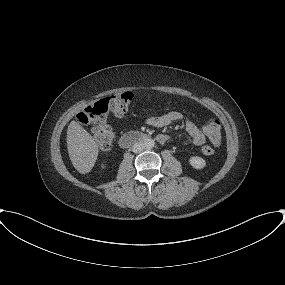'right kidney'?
<instances>
[{"mask_svg": "<svg viewBox=\"0 0 285 285\" xmlns=\"http://www.w3.org/2000/svg\"><path fill=\"white\" fill-rule=\"evenodd\" d=\"M106 166L105 164H101V168L104 169Z\"/></svg>", "mask_w": 285, "mask_h": 285, "instance_id": "right-kidney-1", "label": "right kidney"}]
</instances>
